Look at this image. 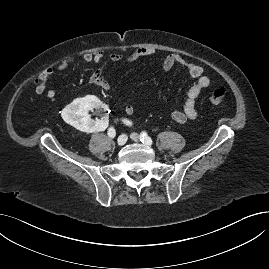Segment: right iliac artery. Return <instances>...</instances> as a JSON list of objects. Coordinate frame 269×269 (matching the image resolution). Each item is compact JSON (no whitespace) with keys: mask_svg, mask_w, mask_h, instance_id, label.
Listing matches in <instances>:
<instances>
[{"mask_svg":"<svg viewBox=\"0 0 269 269\" xmlns=\"http://www.w3.org/2000/svg\"><path fill=\"white\" fill-rule=\"evenodd\" d=\"M126 122H127V125H131L132 124L128 120H126ZM107 134H108L109 137L114 138L115 135H116V131H115V129L113 127H111V128L108 129V133Z\"/></svg>","mask_w":269,"mask_h":269,"instance_id":"obj_1","label":"right iliac artery"}]
</instances>
